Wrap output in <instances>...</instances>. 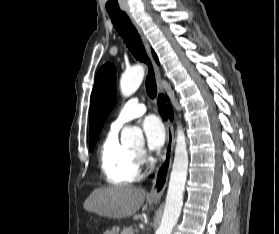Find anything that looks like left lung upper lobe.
I'll use <instances>...</instances> for the list:
<instances>
[{
	"label": "left lung upper lobe",
	"mask_w": 279,
	"mask_h": 234,
	"mask_svg": "<svg viewBox=\"0 0 279 234\" xmlns=\"http://www.w3.org/2000/svg\"><path fill=\"white\" fill-rule=\"evenodd\" d=\"M115 73L114 65L107 63L99 69L95 78L90 103V151L115 104Z\"/></svg>",
	"instance_id": "obj_1"
}]
</instances>
